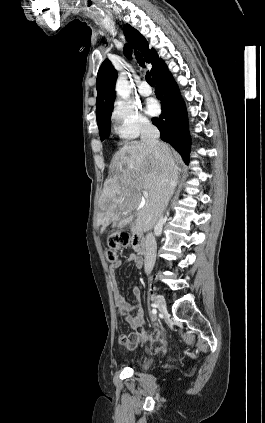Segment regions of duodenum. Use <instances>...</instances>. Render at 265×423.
Here are the masks:
<instances>
[{
    "instance_id": "obj_1",
    "label": "duodenum",
    "mask_w": 265,
    "mask_h": 423,
    "mask_svg": "<svg viewBox=\"0 0 265 423\" xmlns=\"http://www.w3.org/2000/svg\"><path fill=\"white\" fill-rule=\"evenodd\" d=\"M132 245L134 250L139 254V255H144L145 254V240L143 238V236L141 235V233L139 232L138 229L134 228L133 229V233H132Z\"/></svg>"
}]
</instances>
